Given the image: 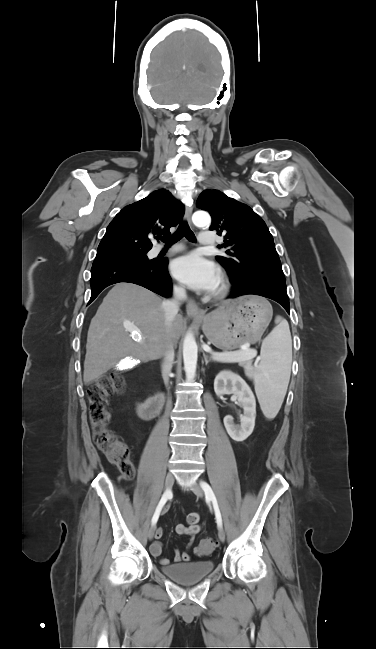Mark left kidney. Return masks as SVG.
Instances as JSON below:
<instances>
[{
	"label": "left kidney",
	"mask_w": 376,
	"mask_h": 649,
	"mask_svg": "<svg viewBox=\"0 0 376 649\" xmlns=\"http://www.w3.org/2000/svg\"><path fill=\"white\" fill-rule=\"evenodd\" d=\"M214 391L217 396L232 394L242 406L244 414L240 418V425H236L230 415L225 416L223 422L233 440L244 441L253 432L255 426L256 401L251 388L238 374L222 371L214 380Z\"/></svg>",
	"instance_id": "5707ae66"
}]
</instances>
